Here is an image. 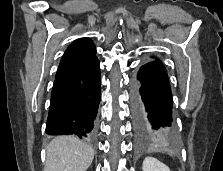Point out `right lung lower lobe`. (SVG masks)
<instances>
[{
	"label": "right lung lower lobe",
	"mask_w": 223,
	"mask_h": 171,
	"mask_svg": "<svg viewBox=\"0 0 223 171\" xmlns=\"http://www.w3.org/2000/svg\"><path fill=\"white\" fill-rule=\"evenodd\" d=\"M98 59L56 76L46 124L48 135L74 134L94 139L95 118L100 103Z\"/></svg>",
	"instance_id": "right-lung-lower-lobe-1"
}]
</instances>
